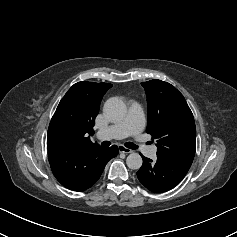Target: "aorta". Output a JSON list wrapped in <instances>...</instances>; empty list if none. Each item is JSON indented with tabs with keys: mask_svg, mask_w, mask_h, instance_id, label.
Here are the masks:
<instances>
[{
	"mask_svg": "<svg viewBox=\"0 0 237 237\" xmlns=\"http://www.w3.org/2000/svg\"><path fill=\"white\" fill-rule=\"evenodd\" d=\"M104 113L113 120H122L127 112V108L123 100L118 97L108 99L103 108ZM143 163L142 157L138 153H131L126 158L128 168L138 170Z\"/></svg>",
	"mask_w": 237,
	"mask_h": 237,
	"instance_id": "762f6f07",
	"label": "aorta"
}]
</instances>
